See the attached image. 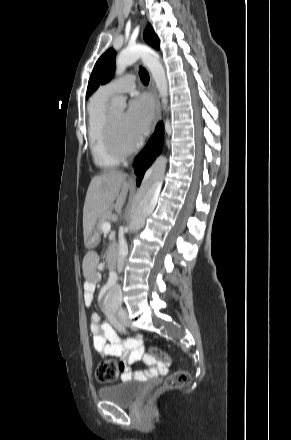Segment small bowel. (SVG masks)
Segmentation results:
<instances>
[{"label":"small bowel","mask_w":291,"mask_h":440,"mask_svg":"<svg viewBox=\"0 0 291 440\" xmlns=\"http://www.w3.org/2000/svg\"><path fill=\"white\" fill-rule=\"evenodd\" d=\"M99 262L100 257L95 251L88 252L83 259V272L86 277L83 287V303L87 307L93 301L96 282L100 280ZM91 331L93 333L94 348L99 356L103 359H119L118 368L124 380L146 381L149 378L163 376L168 372L169 362H158L155 359L147 358L139 339H122L96 313L92 315ZM137 361L147 364L150 369L148 371H133L132 367Z\"/></svg>","instance_id":"obj_1"}]
</instances>
